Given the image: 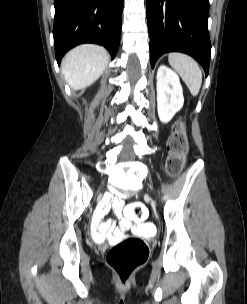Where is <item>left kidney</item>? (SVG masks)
<instances>
[{"label":"left kidney","mask_w":247,"mask_h":304,"mask_svg":"<svg viewBox=\"0 0 247 304\" xmlns=\"http://www.w3.org/2000/svg\"><path fill=\"white\" fill-rule=\"evenodd\" d=\"M156 86L158 115L163 123H167L184 104L179 76L167 66L160 65Z\"/></svg>","instance_id":"1"}]
</instances>
